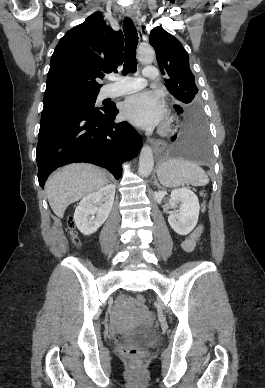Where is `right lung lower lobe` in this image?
I'll return each mask as SVG.
<instances>
[{
  "mask_svg": "<svg viewBox=\"0 0 265 388\" xmlns=\"http://www.w3.org/2000/svg\"><path fill=\"white\" fill-rule=\"evenodd\" d=\"M117 114L113 103L100 110L70 109L42 116L36 153L40 186L56 168L74 162L104 167L119 179L123 161L138 154L142 139L128 122L114 123Z\"/></svg>",
  "mask_w": 265,
  "mask_h": 388,
  "instance_id": "98d812e1",
  "label": "right lung lower lobe"
}]
</instances>
